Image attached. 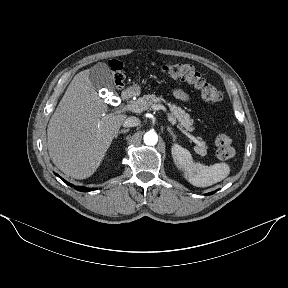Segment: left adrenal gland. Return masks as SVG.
<instances>
[{"mask_svg":"<svg viewBox=\"0 0 288 288\" xmlns=\"http://www.w3.org/2000/svg\"><path fill=\"white\" fill-rule=\"evenodd\" d=\"M168 132L170 133V135L173 137V141H176V135L174 134L173 130L168 126L167 127Z\"/></svg>","mask_w":288,"mask_h":288,"instance_id":"obj_1","label":"left adrenal gland"}]
</instances>
